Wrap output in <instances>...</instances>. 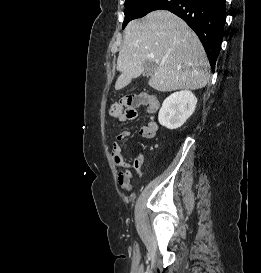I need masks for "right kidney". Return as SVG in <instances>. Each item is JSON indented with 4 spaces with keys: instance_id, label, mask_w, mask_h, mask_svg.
Here are the masks:
<instances>
[{
    "instance_id": "1",
    "label": "right kidney",
    "mask_w": 261,
    "mask_h": 273,
    "mask_svg": "<svg viewBox=\"0 0 261 273\" xmlns=\"http://www.w3.org/2000/svg\"><path fill=\"white\" fill-rule=\"evenodd\" d=\"M196 104L197 98L191 91L171 94L164 100L159 111V123L170 130L178 129L193 114Z\"/></svg>"
}]
</instances>
